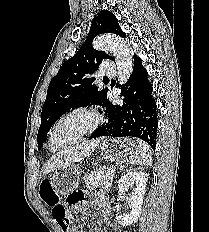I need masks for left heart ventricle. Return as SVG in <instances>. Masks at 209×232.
Here are the masks:
<instances>
[{
  "mask_svg": "<svg viewBox=\"0 0 209 232\" xmlns=\"http://www.w3.org/2000/svg\"><path fill=\"white\" fill-rule=\"evenodd\" d=\"M88 122L89 119L85 115L76 114L63 122L61 125V132L63 134L78 132L83 129L88 124ZM51 146L55 148L58 146V143L53 141Z\"/></svg>",
  "mask_w": 209,
  "mask_h": 232,
  "instance_id": "1",
  "label": "left heart ventricle"
}]
</instances>
